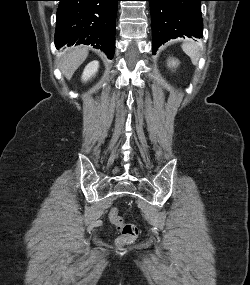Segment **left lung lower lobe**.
I'll return each mask as SVG.
<instances>
[{
	"mask_svg": "<svg viewBox=\"0 0 250 285\" xmlns=\"http://www.w3.org/2000/svg\"><path fill=\"white\" fill-rule=\"evenodd\" d=\"M152 20V52L161 44L177 37L201 38L203 22L201 1L204 0H147Z\"/></svg>",
	"mask_w": 250,
	"mask_h": 285,
	"instance_id": "left-lung-lower-lobe-1",
	"label": "left lung lower lobe"
}]
</instances>
